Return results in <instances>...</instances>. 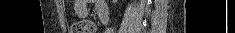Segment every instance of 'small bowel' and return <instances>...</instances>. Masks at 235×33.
<instances>
[{
	"instance_id": "small-bowel-1",
	"label": "small bowel",
	"mask_w": 235,
	"mask_h": 33,
	"mask_svg": "<svg viewBox=\"0 0 235 33\" xmlns=\"http://www.w3.org/2000/svg\"><path fill=\"white\" fill-rule=\"evenodd\" d=\"M88 1L87 0H78L75 2L74 7L77 13L82 14L87 10L88 6ZM95 10L99 17L101 18L102 16L106 15L108 16V9L106 6V3L102 0H97L94 2ZM112 29L109 28L107 30V33H112Z\"/></svg>"
}]
</instances>
